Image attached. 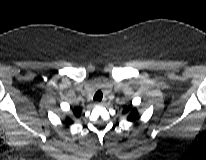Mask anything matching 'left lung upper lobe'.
<instances>
[{
  "instance_id": "left-lung-upper-lobe-1",
  "label": "left lung upper lobe",
  "mask_w": 206,
  "mask_h": 160,
  "mask_svg": "<svg viewBox=\"0 0 206 160\" xmlns=\"http://www.w3.org/2000/svg\"><path fill=\"white\" fill-rule=\"evenodd\" d=\"M123 112L126 114H129L127 117L128 121L133 122L138 118V112H137L136 108H132L131 105H128L127 107H125Z\"/></svg>"
}]
</instances>
